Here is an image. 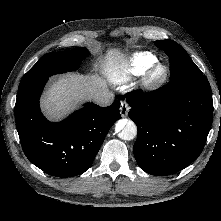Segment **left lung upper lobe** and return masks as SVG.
<instances>
[{
    "instance_id": "5c2ea615",
    "label": "left lung upper lobe",
    "mask_w": 221,
    "mask_h": 221,
    "mask_svg": "<svg viewBox=\"0 0 221 221\" xmlns=\"http://www.w3.org/2000/svg\"><path fill=\"white\" fill-rule=\"evenodd\" d=\"M155 45L169 56L170 79L187 75H203L188 53L173 40H158Z\"/></svg>"
}]
</instances>
